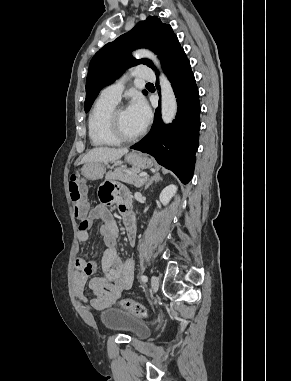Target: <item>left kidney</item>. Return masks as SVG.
<instances>
[{"mask_svg":"<svg viewBox=\"0 0 291 381\" xmlns=\"http://www.w3.org/2000/svg\"><path fill=\"white\" fill-rule=\"evenodd\" d=\"M176 191H177L176 185L171 184L165 187L160 193V196H159L160 202L163 205H167L169 201L171 200V198L175 195Z\"/></svg>","mask_w":291,"mask_h":381,"instance_id":"1","label":"left kidney"}]
</instances>
